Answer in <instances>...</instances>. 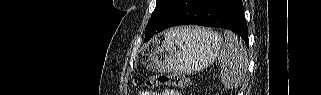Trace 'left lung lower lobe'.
Masks as SVG:
<instances>
[{
    "instance_id": "1",
    "label": "left lung lower lobe",
    "mask_w": 321,
    "mask_h": 95,
    "mask_svg": "<svg viewBox=\"0 0 321 95\" xmlns=\"http://www.w3.org/2000/svg\"><path fill=\"white\" fill-rule=\"evenodd\" d=\"M187 24L229 29L248 44V28L241 0H176L155 33Z\"/></svg>"
}]
</instances>
